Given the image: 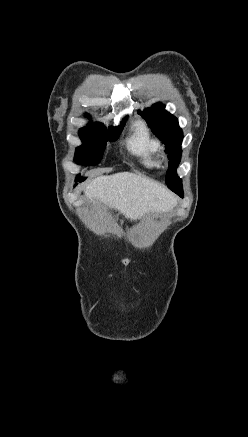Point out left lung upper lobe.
Segmentation results:
<instances>
[{"instance_id": "obj_1", "label": "left lung upper lobe", "mask_w": 248, "mask_h": 437, "mask_svg": "<svg viewBox=\"0 0 248 437\" xmlns=\"http://www.w3.org/2000/svg\"><path fill=\"white\" fill-rule=\"evenodd\" d=\"M138 113L147 121L153 133L164 142L170 160L166 184L169 189L183 197L182 180L176 174L181 158L183 140V133L178 125V120L167 112L165 106L160 102L144 111H138Z\"/></svg>"}]
</instances>
